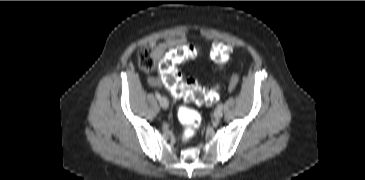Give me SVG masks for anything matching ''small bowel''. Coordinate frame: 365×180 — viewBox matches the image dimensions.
Instances as JSON below:
<instances>
[{
  "mask_svg": "<svg viewBox=\"0 0 365 180\" xmlns=\"http://www.w3.org/2000/svg\"><path fill=\"white\" fill-rule=\"evenodd\" d=\"M185 41H186V35L182 34V35L178 36L177 38H170L161 43H158L157 45L154 46V55L158 59L163 57L166 53H168V55H169V53L173 49H175L176 47H179ZM148 81H149L150 85H152V86L160 85L159 78H157L155 76L149 77Z\"/></svg>",
  "mask_w": 365,
  "mask_h": 180,
  "instance_id": "1",
  "label": "small bowel"
}]
</instances>
